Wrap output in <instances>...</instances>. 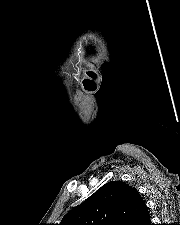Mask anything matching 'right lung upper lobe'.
<instances>
[{
	"label": "right lung upper lobe",
	"instance_id": "obj_1",
	"mask_svg": "<svg viewBox=\"0 0 180 225\" xmlns=\"http://www.w3.org/2000/svg\"><path fill=\"white\" fill-rule=\"evenodd\" d=\"M149 213L139 192L128 184L113 181L98 189L60 225H150Z\"/></svg>",
	"mask_w": 180,
	"mask_h": 225
}]
</instances>
